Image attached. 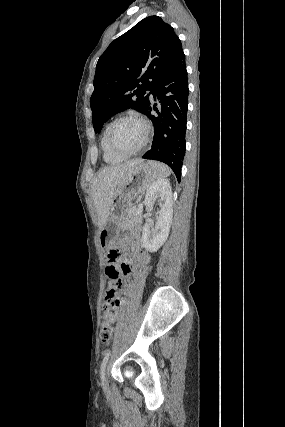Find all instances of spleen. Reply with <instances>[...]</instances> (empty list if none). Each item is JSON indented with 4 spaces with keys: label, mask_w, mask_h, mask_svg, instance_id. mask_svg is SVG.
Listing matches in <instances>:
<instances>
[{
    "label": "spleen",
    "mask_w": 285,
    "mask_h": 427,
    "mask_svg": "<svg viewBox=\"0 0 285 427\" xmlns=\"http://www.w3.org/2000/svg\"><path fill=\"white\" fill-rule=\"evenodd\" d=\"M148 164L151 166L155 174V178L161 179L171 174L170 168L163 163L156 162V161H148Z\"/></svg>",
    "instance_id": "spleen-1"
}]
</instances>
